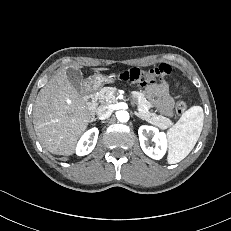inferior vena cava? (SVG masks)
<instances>
[{"instance_id":"1","label":"inferior vena cava","mask_w":231,"mask_h":231,"mask_svg":"<svg viewBox=\"0 0 231 231\" xmlns=\"http://www.w3.org/2000/svg\"><path fill=\"white\" fill-rule=\"evenodd\" d=\"M96 113L99 119L104 120L111 116L112 110L107 105H101L97 108Z\"/></svg>"}]
</instances>
